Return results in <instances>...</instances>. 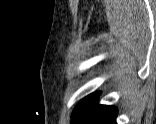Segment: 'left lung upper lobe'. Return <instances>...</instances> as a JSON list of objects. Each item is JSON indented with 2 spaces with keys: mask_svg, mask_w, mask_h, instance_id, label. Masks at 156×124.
<instances>
[{
  "mask_svg": "<svg viewBox=\"0 0 156 124\" xmlns=\"http://www.w3.org/2000/svg\"><path fill=\"white\" fill-rule=\"evenodd\" d=\"M98 93H94L83 99L73 111L72 124H78L86 115L94 101L97 99Z\"/></svg>",
  "mask_w": 156,
  "mask_h": 124,
  "instance_id": "left-lung-upper-lobe-1",
  "label": "left lung upper lobe"
}]
</instances>
